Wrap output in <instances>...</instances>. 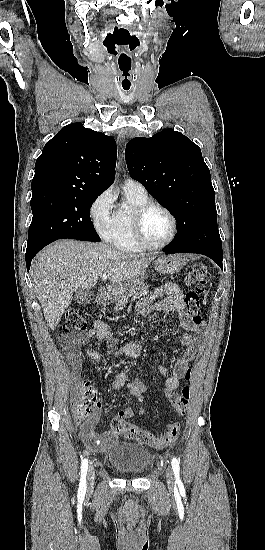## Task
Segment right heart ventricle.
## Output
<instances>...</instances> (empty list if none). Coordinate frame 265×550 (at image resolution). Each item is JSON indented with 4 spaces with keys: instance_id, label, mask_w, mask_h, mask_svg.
I'll use <instances>...</instances> for the list:
<instances>
[{
    "instance_id": "1",
    "label": "right heart ventricle",
    "mask_w": 265,
    "mask_h": 550,
    "mask_svg": "<svg viewBox=\"0 0 265 550\" xmlns=\"http://www.w3.org/2000/svg\"><path fill=\"white\" fill-rule=\"evenodd\" d=\"M126 204L119 206L113 213L112 226L107 237L116 249L124 252H135L140 249L132 232L134 210L149 201L147 194L125 190Z\"/></svg>"
}]
</instances>
